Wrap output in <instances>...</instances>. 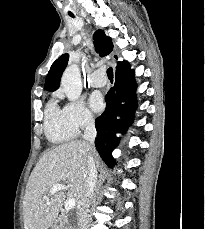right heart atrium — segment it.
Masks as SVG:
<instances>
[{"mask_svg":"<svg viewBox=\"0 0 205 229\" xmlns=\"http://www.w3.org/2000/svg\"><path fill=\"white\" fill-rule=\"evenodd\" d=\"M63 112L67 122L76 133L92 127L96 121L94 114L82 101L66 103Z\"/></svg>","mask_w":205,"mask_h":229,"instance_id":"d8ad5b80","label":"right heart atrium"}]
</instances>
